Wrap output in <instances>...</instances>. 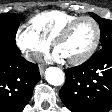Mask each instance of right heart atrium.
<instances>
[{"mask_svg":"<svg viewBox=\"0 0 112 112\" xmlns=\"http://www.w3.org/2000/svg\"><path fill=\"white\" fill-rule=\"evenodd\" d=\"M15 43L24 58L35 61L49 49V43L41 39L29 26H20L15 33Z\"/></svg>","mask_w":112,"mask_h":112,"instance_id":"d8ad5b80","label":"right heart atrium"}]
</instances>
